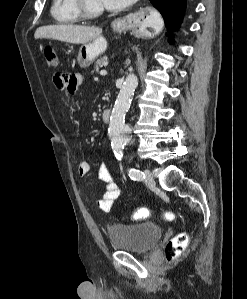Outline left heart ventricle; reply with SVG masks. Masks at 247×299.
I'll return each mask as SVG.
<instances>
[{
  "mask_svg": "<svg viewBox=\"0 0 247 299\" xmlns=\"http://www.w3.org/2000/svg\"><path fill=\"white\" fill-rule=\"evenodd\" d=\"M88 2L92 8H103L100 0H88Z\"/></svg>",
  "mask_w": 247,
  "mask_h": 299,
  "instance_id": "obj_1",
  "label": "left heart ventricle"
}]
</instances>
